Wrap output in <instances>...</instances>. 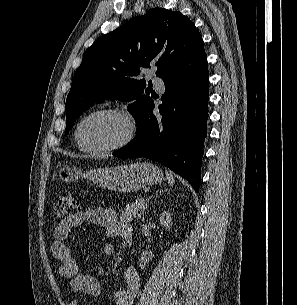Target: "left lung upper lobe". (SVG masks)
Returning a JSON list of instances; mask_svg holds the SVG:
<instances>
[{
	"mask_svg": "<svg viewBox=\"0 0 297 305\" xmlns=\"http://www.w3.org/2000/svg\"><path fill=\"white\" fill-rule=\"evenodd\" d=\"M150 64L162 79L179 69L208 67L201 34L180 12L150 9L86 50L66 100L65 135L84 110L106 99L133 101L128 109L137 122L152 99L144 95L145 80L131 76Z\"/></svg>",
	"mask_w": 297,
	"mask_h": 305,
	"instance_id": "left-lung-upper-lobe-1",
	"label": "left lung upper lobe"
}]
</instances>
